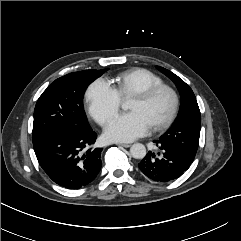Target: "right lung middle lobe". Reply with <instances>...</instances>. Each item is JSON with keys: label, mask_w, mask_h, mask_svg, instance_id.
Listing matches in <instances>:
<instances>
[{"label": "right lung middle lobe", "mask_w": 241, "mask_h": 241, "mask_svg": "<svg viewBox=\"0 0 241 241\" xmlns=\"http://www.w3.org/2000/svg\"><path fill=\"white\" fill-rule=\"evenodd\" d=\"M104 71L105 69L73 72L56 79L48 86L35 106L33 144L59 131L90 128L82 98L87 86Z\"/></svg>", "instance_id": "dd1d6c3e"}]
</instances>
